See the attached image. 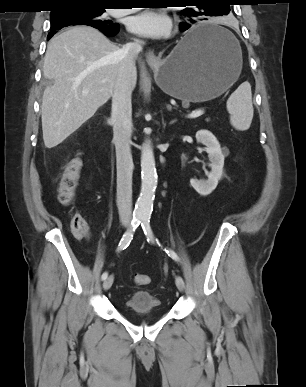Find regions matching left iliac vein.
Segmentation results:
<instances>
[{
    "label": "left iliac vein",
    "mask_w": 306,
    "mask_h": 387,
    "mask_svg": "<svg viewBox=\"0 0 306 387\" xmlns=\"http://www.w3.org/2000/svg\"><path fill=\"white\" fill-rule=\"evenodd\" d=\"M176 286L179 289V291L183 292L185 289V283L182 277L177 276L175 280Z\"/></svg>",
    "instance_id": "1"
}]
</instances>
